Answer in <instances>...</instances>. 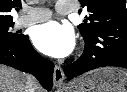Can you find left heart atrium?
<instances>
[{
    "instance_id": "1",
    "label": "left heart atrium",
    "mask_w": 127,
    "mask_h": 92,
    "mask_svg": "<svg viewBox=\"0 0 127 92\" xmlns=\"http://www.w3.org/2000/svg\"><path fill=\"white\" fill-rule=\"evenodd\" d=\"M32 40L39 51L56 58L68 56L75 45L72 28L56 21L37 26L33 31Z\"/></svg>"
}]
</instances>
